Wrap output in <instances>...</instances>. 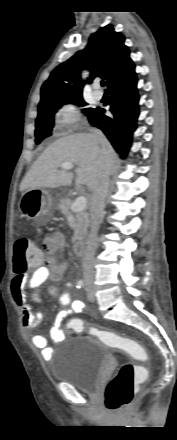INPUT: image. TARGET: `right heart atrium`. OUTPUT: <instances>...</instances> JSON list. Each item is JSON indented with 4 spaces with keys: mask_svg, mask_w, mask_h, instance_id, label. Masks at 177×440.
Returning <instances> with one entry per match:
<instances>
[{
    "mask_svg": "<svg viewBox=\"0 0 177 440\" xmlns=\"http://www.w3.org/2000/svg\"><path fill=\"white\" fill-rule=\"evenodd\" d=\"M55 121L63 127H73L79 121V113L74 104L68 103L61 106L55 113Z\"/></svg>",
    "mask_w": 177,
    "mask_h": 440,
    "instance_id": "1",
    "label": "right heart atrium"
}]
</instances>
